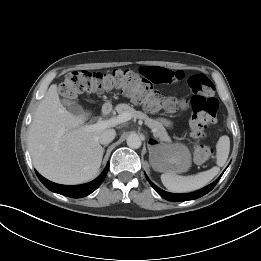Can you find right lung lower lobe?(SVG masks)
Returning <instances> with one entry per match:
<instances>
[{"mask_svg":"<svg viewBox=\"0 0 261 261\" xmlns=\"http://www.w3.org/2000/svg\"><path fill=\"white\" fill-rule=\"evenodd\" d=\"M109 164H107L104 171L100 174L99 177H97L94 181L83 184V185H75V186H68V185H60L53 183L44 177H42L38 172H36L39 180L43 183V185L48 188L52 192L59 193L64 196H68L71 198H81L89 195L94 190H96L100 184L105 179V176L108 172Z\"/></svg>","mask_w":261,"mask_h":261,"instance_id":"obj_1","label":"right lung lower lobe"}]
</instances>
